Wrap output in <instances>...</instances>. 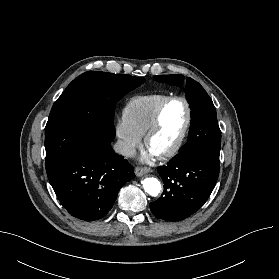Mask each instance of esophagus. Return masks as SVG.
<instances>
[{
    "mask_svg": "<svg viewBox=\"0 0 279 279\" xmlns=\"http://www.w3.org/2000/svg\"><path fill=\"white\" fill-rule=\"evenodd\" d=\"M152 170L150 168L147 167H136L135 168V174L136 176H142L145 175L149 172H151Z\"/></svg>",
    "mask_w": 279,
    "mask_h": 279,
    "instance_id": "34e87169",
    "label": "esophagus"
}]
</instances>
